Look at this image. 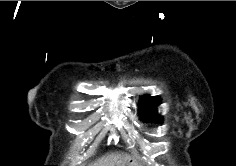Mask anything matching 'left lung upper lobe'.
I'll return each mask as SVG.
<instances>
[{
  "label": "left lung upper lobe",
  "instance_id": "5c2ea615",
  "mask_svg": "<svg viewBox=\"0 0 236 166\" xmlns=\"http://www.w3.org/2000/svg\"><path fill=\"white\" fill-rule=\"evenodd\" d=\"M160 99L155 96L145 95L139 102V113L143 122L162 123V117L157 113Z\"/></svg>",
  "mask_w": 236,
  "mask_h": 166
}]
</instances>
